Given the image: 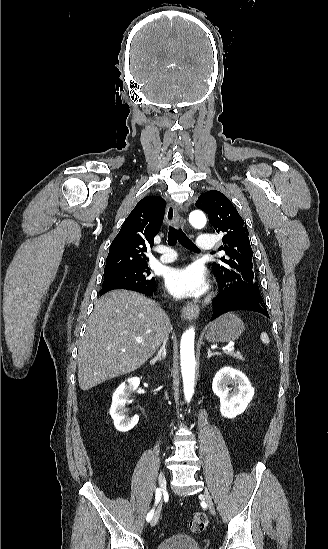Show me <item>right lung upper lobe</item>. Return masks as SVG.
I'll return each instance as SVG.
<instances>
[{"mask_svg":"<svg viewBox=\"0 0 328 549\" xmlns=\"http://www.w3.org/2000/svg\"><path fill=\"white\" fill-rule=\"evenodd\" d=\"M165 206L166 201L156 196H147L137 203L110 245L104 272L147 264L145 252L147 246L154 244Z\"/></svg>","mask_w":328,"mask_h":549,"instance_id":"right-lung-upper-lobe-1","label":"right lung upper lobe"}]
</instances>
